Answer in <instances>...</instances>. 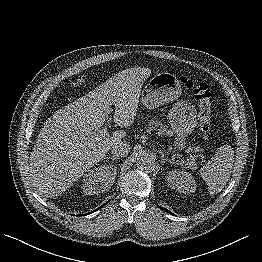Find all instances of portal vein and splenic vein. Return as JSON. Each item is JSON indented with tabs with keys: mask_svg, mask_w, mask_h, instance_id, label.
Instances as JSON below:
<instances>
[{
	"mask_svg": "<svg viewBox=\"0 0 262 262\" xmlns=\"http://www.w3.org/2000/svg\"><path fill=\"white\" fill-rule=\"evenodd\" d=\"M107 136H109L108 126H104L102 129L99 130V133L97 134L96 139L105 138V137H107ZM197 151H199V150H197ZM191 160H192V159H191ZM187 164L193 165L194 162H193V161H190V162H188Z\"/></svg>",
	"mask_w": 262,
	"mask_h": 262,
	"instance_id": "18ae733b",
	"label": "portal vein and splenic vein"
}]
</instances>
